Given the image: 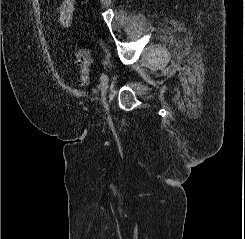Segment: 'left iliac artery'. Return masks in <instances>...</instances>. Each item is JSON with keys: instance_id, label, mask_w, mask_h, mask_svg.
Here are the masks:
<instances>
[{"instance_id": "obj_1", "label": "left iliac artery", "mask_w": 245, "mask_h": 239, "mask_svg": "<svg viewBox=\"0 0 245 239\" xmlns=\"http://www.w3.org/2000/svg\"><path fill=\"white\" fill-rule=\"evenodd\" d=\"M104 79H105V74L102 73L101 76H100V84L103 83Z\"/></svg>"}]
</instances>
